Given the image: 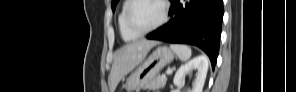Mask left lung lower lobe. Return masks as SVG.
Returning <instances> with one entry per match:
<instances>
[{
  "label": "left lung lower lobe",
  "instance_id": "obj_1",
  "mask_svg": "<svg viewBox=\"0 0 296 92\" xmlns=\"http://www.w3.org/2000/svg\"><path fill=\"white\" fill-rule=\"evenodd\" d=\"M171 20L147 39L198 46L215 67L219 52L223 0H170Z\"/></svg>",
  "mask_w": 296,
  "mask_h": 92
}]
</instances>
